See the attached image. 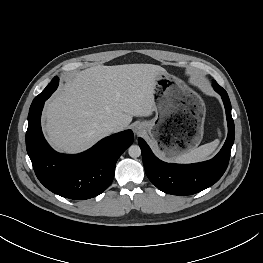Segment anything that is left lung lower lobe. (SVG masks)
<instances>
[{"mask_svg": "<svg viewBox=\"0 0 263 263\" xmlns=\"http://www.w3.org/2000/svg\"><path fill=\"white\" fill-rule=\"evenodd\" d=\"M223 100L228 122V136L220 152L211 160L194 164H172L159 160L147 143L138 139L147 177L161 191L173 195H191L216 183L224 174L230 158L235 138L231 103L227 92L218 84H213Z\"/></svg>", "mask_w": 263, "mask_h": 263, "instance_id": "obj_1", "label": "left lung lower lobe"}]
</instances>
